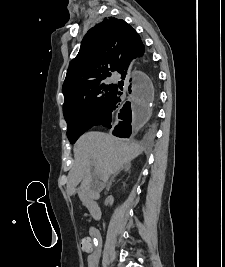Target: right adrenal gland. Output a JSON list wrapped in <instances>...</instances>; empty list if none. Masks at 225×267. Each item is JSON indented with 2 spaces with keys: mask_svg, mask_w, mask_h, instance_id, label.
<instances>
[{
  "mask_svg": "<svg viewBox=\"0 0 225 267\" xmlns=\"http://www.w3.org/2000/svg\"><path fill=\"white\" fill-rule=\"evenodd\" d=\"M130 168H131V164L128 163V164H126L120 171H118L117 173L113 174V176H112V178H111V180H110V182H109L107 188L110 189L111 184H112V182L114 181V178H115L121 171L129 172V171H130Z\"/></svg>",
  "mask_w": 225,
  "mask_h": 267,
  "instance_id": "right-adrenal-gland-1",
  "label": "right adrenal gland"
}]
</instances>
